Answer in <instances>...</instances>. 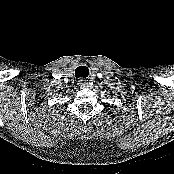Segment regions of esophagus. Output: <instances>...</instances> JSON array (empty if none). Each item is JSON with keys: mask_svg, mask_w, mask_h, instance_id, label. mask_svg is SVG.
I'll return each instance as SVG.
<instances>
[{"mask_svg": "<svg viewBox=\"0 0 174 174\" xmlns=\"http://www.w3.org/2000/svg\"><path fill=\"white\" fill-rule=\"evenodd\" d=\"M78 85L79 87H85L87 85V80L86 79H79L78 80Z\"/></svg>", "mask_w": 174, "mask_h": 174, "instance_id": "obj_1", "label": "esophagus"}]
</instances>
